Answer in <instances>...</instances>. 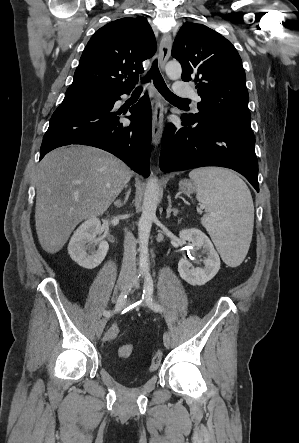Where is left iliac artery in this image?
Wrapping results in <instances>:
<instances>
[{
    "instance_id": "1",
    "label": "left iliac artery",
    "mask_w": 299,
    "mask_h": 443,
    "mask_svg": "<svg viewBox=\"0 0 299 443\" xmlns=\"http://www.w3.org/2000/svg\"><path fill=\"white\" fill-rule=\"evenodd\" d=\"M145 276V283H144V289H143V299L145 303L152 309L162 312L163 308L153 301L152 293H153V280L149 272H146L144 274Z\"/></svg>"
}]
</instances>
